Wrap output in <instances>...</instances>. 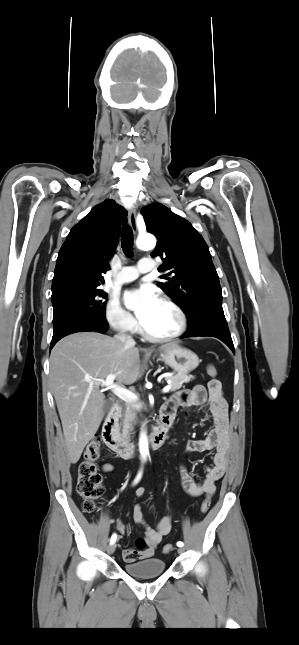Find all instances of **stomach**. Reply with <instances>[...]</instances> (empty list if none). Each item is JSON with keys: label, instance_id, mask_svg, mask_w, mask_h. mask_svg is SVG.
I'll return each mask as SVG.
<instances>
[{"label": "stomach", "instance_id": "1", "mask_svg": "<svg viewBox=\"0 0 299 645\" xmlns=\"http://www.w3.org/2000/svg\"><path fill=\"white\" fill-rule=\"evenodd\" d=\"M161 360L178 373L188 374L199 365L198 356L191 350L177 346L164 351Z\"/></svg>", "mask_w": 299, "mask_h": 645}]
</instances>
